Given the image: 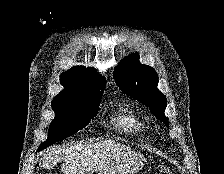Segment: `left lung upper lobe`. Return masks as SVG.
<instances>
[{"label": "left lung upper lobe", "instance_id": "5c2ea615", "mask_svg": "<svg viewBox=\"0 0 224 174\" xmlns=\"http://www.w3.org/2000/svg\"><path fill=\"white\" fill-rule=\"evenodd\" d=\"M113 75L117 86L126 95L141 101L169 127L164 115L167 99L157 89L158 75L152 67L141 64L138 54H131L115 68Z\"/></svg>", "mask_w": 224, "mask_h": 174}]
</instances>
